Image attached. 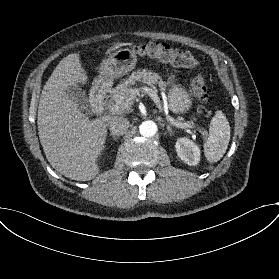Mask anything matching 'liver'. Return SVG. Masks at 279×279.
Returning a JSON list of instances; mask_svg holds the SVG:
<instances>
[{"label":"liver","instance_id":"liver-1","mask_svg":"<svg viewBox=\"0 0 279 279\" xmlns=\"http://www.w3.org/2000/svg\"><path fill=\"white\" fill-rule=\"evenodd\" d=\"M89 80L80 55L66 56L43 86L37 117L39 140L49 164L66 178L82 182L100 173L98 159L105 150L107 127L115 118L104 115L90 121L69 97V88L87 86ZM96 83L111 82L99 76Z\"/></svg>","mask_w":279,"mask_h":279}]
</instances>
